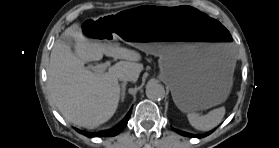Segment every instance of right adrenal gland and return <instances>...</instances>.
Returning <instances> with one entry per match:
<instances>
[{
    "label": "right adrenal gland",
    "instance_id": "right-adrenal-gland-1",
    "mask_svg": "<svg viewBox=\"0 0 279 148\" xmlns=\"http://www.w3.org/2000/svg\"><path fill=\"white\" fill-rule=\"evenodd\" d=\"M126 84L127 82H123L121 84V101H124V97H125V90H126Z\"/></svg>",
    "mask_w": 279,
    "mask_h": 148
}]
</instances>
